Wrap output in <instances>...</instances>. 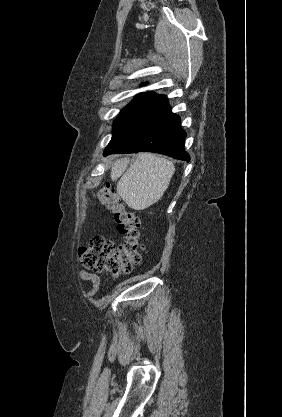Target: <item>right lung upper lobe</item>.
Segmentation results:
<instances>
[{
  "label": "right lung upper lobe",
  "mask_w": 282,
  "mask_h": 417,
  "mask_svg": "<svg viewBox=\"0 0 282 417\" xmlns=\"http://www.w3.org/2000/svg\"><path fill=\"white\" fill-rule=\"evenodd\" d=\"M144 94H154V93H144ZM156 95H159V94H156Z\"/></svg>",
  "instance_id": "cb5924a9"
}]
</instances>
